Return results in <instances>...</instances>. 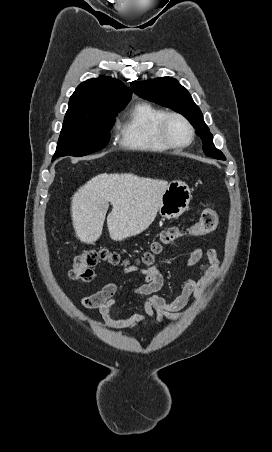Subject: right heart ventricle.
Listing matches in <instances>:
<instances>
[{"label": "right heart ventricle", "instance_id": "1", "mask_svg": "<svg viewBox=\"0 0 272 452\" xmlns=\"http://www.w3.org/2000/svg\"><path fill=\"white\" fill-rule=\"evenodd\" d=\"M165 113L150 102L136 104L119 128L120 144L127 149L142 152L170 150L171 147L159 133V123Z\"/></svg>", "mask_w": 272, "mask_h": 452}]
</instances>
